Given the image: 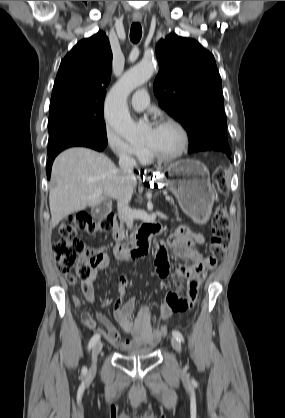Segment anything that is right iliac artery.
Segmentation results:
<instances>
[{"instance_id":"right-iliac-artery-1","label":"right iliac artery","mask_w":285,"mask_h":418,"mask_svg":"<svg viewBox=\"0 0 285 418\" xmlns=\"http://www.w3.org/2000/svg\"><path fill=\"white\" fill-rule=\"evenodd\" d=\"M100 340V335L99 334H95L89 341L88 344V350H90L98 341ZM82 372L85 373L86 372V368L84 367L82 369Z\"/></svg>"}]
</instances>
